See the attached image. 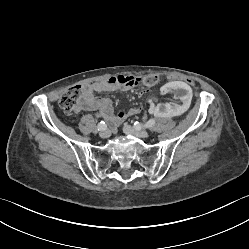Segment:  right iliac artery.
Here are the masks:
<instances>
[{
  "mask_svg": "<svg viewBox=\"0 0 249 249\" xmlns=\"http://www.w3.org/2000/svg\"><path fill=\"white\" fill-rule=\"evenodd\" d=\"M97 128H98V130H103V129H105V128H106L105 122H104V121H101L100 123H98Z\"/></svg>",
  "mask_w": 249,
  "mask_h": 249,
  "instance_id": "82829eb1",
  "label": "right iliac artery"
}]
</instances>
